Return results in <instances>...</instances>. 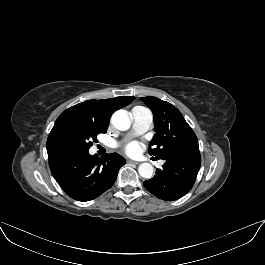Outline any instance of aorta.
<instances>
[{
	"instance_id": "obj_1",
	"label": "aorta",
	"mask_w": 265,
	"mask_h": 265,
	"mask_svg": "<svg viewBox=\"0 0 265 265\" xmlns=\"http://www.w3.org/2000/svg\"><path fill=\"white\" fill-rule=\"evenodd\" d=\"M111 123L117 130L126 131L131 126V119L126 112L119 110L112 115ZM138 172L141 177L150 179L154 168L150 163H142L138 167Z\"/></svg>"
}]
</instances>
